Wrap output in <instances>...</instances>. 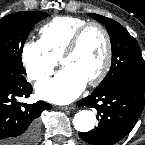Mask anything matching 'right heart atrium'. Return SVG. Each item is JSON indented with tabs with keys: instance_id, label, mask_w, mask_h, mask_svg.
Instances as JSON below:
<instances>
[{
	"instance_id": "obj_1",
	"label": "right heart atrium",
	"mask_w": 145,
	"mask_h": 145,
	"mask_svg": "<svg viewBox=\"0 0 145 145\" xmlns=\"http://www.w3.org/2000/svg\"><path fill=\"white\" fill-rule=\"evenodd\" d=\"M21 59L26 75L32 81L51 75L57 65V59L46 51L41 41H27L22 47Z\"/></svg>"
}]
</instances>
